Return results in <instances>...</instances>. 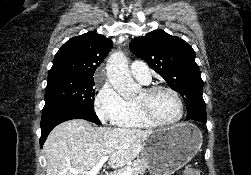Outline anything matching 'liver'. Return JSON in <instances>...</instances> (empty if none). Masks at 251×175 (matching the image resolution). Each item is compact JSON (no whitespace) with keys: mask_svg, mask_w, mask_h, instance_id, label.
I'll return each mask as SVG.
<instances>
[{"mask_svg":"<svg viewBox=\"0 0 251 175\" xmlns=\"http://www.w3.org/2000/svg\"><path fill=\"white\" fill-rule=\"evenodd\" d=\"M152 131L124 127H93L86 119H69L50 131L43 147L46 175H85L101 157L110 155L109 167H122L142 151Z\"/></svg>","mask_w":251,"mask_h":175,"instance_id":"liver-1","label":"liver"}]
</instances>
